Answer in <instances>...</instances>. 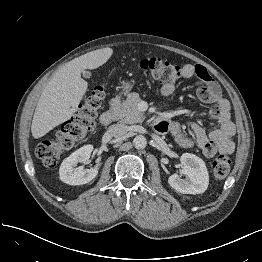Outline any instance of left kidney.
Masks as SVG:
<instances>
[{
    "mask_svg": "<svg viewBox=\"0 0 262 262\" xmlns=\"http://www.w3.org/2000/svg\"><path fill=\"white\" fill-rule=\"evenodd\" d=\"M181 174L186 176L182 179L177 174L169 177V185L177 192L183 194H201L204 193L209 184V175L205 162L198 156L190 153L182 154Z\"/></svg>",
    "mask_w": 262,
    "mask_h": 262,
    "instance_id": "obj_1",
    "label": "left kidney"
}]
</instances>
